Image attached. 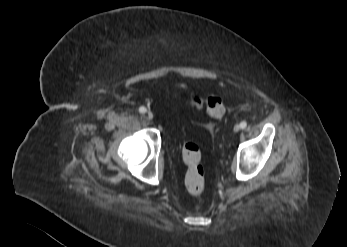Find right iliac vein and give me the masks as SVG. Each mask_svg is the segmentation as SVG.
Instances as JSON below:
<instances>
[{"label":"right iliac vein","mask_w":347,"mask_h":247,"mask_svg":"<svg viewBox=\"0 0 347 247\" xmlns=\"http://www.w3.org/2000/svg\"><path fill=\"white\" fill-rule=\"evenodd\" d=\"M147 118L150 119V120L153 119V114H152V112H150V111L147 112Z\"/></svg>","instance_id":"right-iliac-vein-1"}]
</instances>
